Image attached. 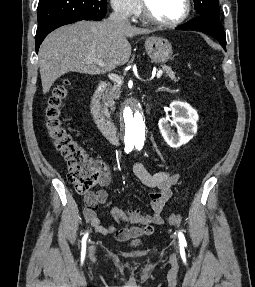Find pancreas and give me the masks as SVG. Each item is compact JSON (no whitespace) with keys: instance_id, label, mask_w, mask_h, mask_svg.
Here are the masks:
<instances>
[{"instance_id":"1","label":"pancreas","mask_w":255,"mask_h":287,"mask_svg":"<svg viewBox=\"0 0 255 287\" xmlns=\"http://www.w3.org/2000/svg\"><path fill=\"white\" fill-rule=\"evenodd\" d=\"M161 68L162 70H164L165 74H167V76H169V78L173 80V82H178V80H180V78H176L175 72H173V70H171L169 66H161ZM120 96L121 86H118V84H114L112 88H108L102 98L104 108H113L115 104L114 100H119Z\"/></svg>"}]
</instances>
